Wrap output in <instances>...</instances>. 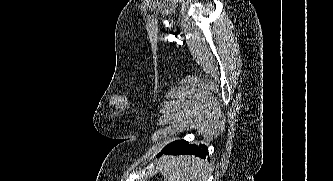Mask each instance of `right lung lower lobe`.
Segmentation results:
<instances>
[{"instance_id": "obj_1", "label": "right lung lower lobe", "mask_w": 333, "mask_h": 181, "mask_svg": "<svg viewBox=\"0 0 333 181\" xmlns=\"http://www.w3.org/2000/svg\"><path fill=\"white\" fill-rule=\"evenodd\" d=\"M179 155V154H193L205 158L208 155V148L205 145H189L185 140L177 141L169 146L164 147L161 154Z\"/></svg>"}]
</instances>
